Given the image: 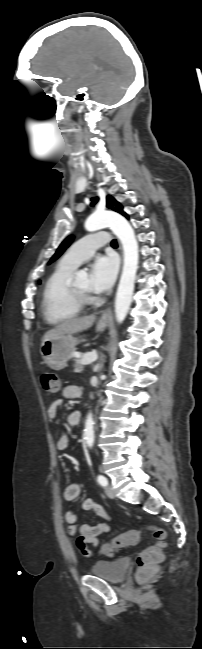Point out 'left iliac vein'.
Returning a JSON list of instances; mask_svg holds the SVG:
<instances>
[{"mask_svg":"<svg viewBox=\"0 0 202 649\" xmlns=\"http://www.w3.org/2000/svg\"><path fill=\"white\" fill-rule=\"evenodd\" d=\"M105 493L109 498H111V499L115 498V493H114L113 489L110 486L105 487Z\"/></svg>","mask_w":202,"mask_h":649,"instance_id":"4c4485c4","label":"left iliac vein"}]
</instances>
